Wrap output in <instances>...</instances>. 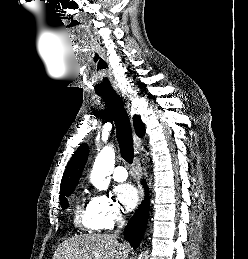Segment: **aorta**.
Returning a JSON list of instances; mask_svg holds the SVG:
<instances>
[{
  "instance_id": "obj_1",
  "label": "aorta",
  "mask_w": 248,
  "mask_h": 259,
  "mask_svg": "<svg viewBox=\"0 0 248 259\" xmlns=\"http://www.w3.org/2000/svg\"><path fill=\"white\" fill-rule=\"evenodd\" d=\"M115 164V152L112 147H104L96 157L91 171L90 180L98 190H106Z\"/></svg>"
}]
</instances>
